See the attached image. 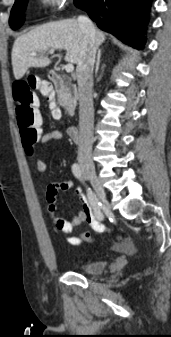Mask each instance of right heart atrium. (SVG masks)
I'll return each instance as SVG.
<instances>
[{
  "label": "right heart atrium",
  "instance_id": "obj_1",
  "mask_svg": "<svg viewBox=\"0 0 171 337\" xmlns=\"http://www.w3.org/2000/svg\"><path fill=\"white\" fill-rule=\"evenodd\" d=\"M67 0H44V2L50 7H60L66 3Z\"/></svg>",
  "mask_w": 171,
  "mask_h": 337
}]
</instances>
